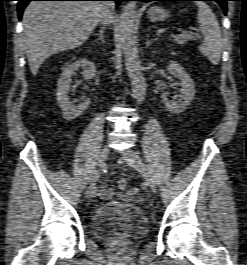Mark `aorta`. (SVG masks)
<instances>
[{"label":"aorta","instance_id":"762f6f07","mask_svg":"<svg viewBox=\"0 0 247 265\" xmlns=\"http://www.w3.org/2000/svg\"><path fill=\"white\" fill-rule=\"evenodd\" d=\"M136 2H128L120 16V39L125 57V66L131 81L133 98L142 102L146 95V81L142 74L141 62L135 38Z\"/></svg>","mask_w":247,"mask_h":265}]
</instances>
